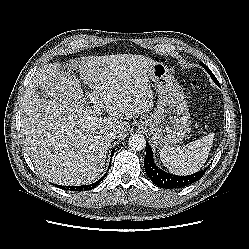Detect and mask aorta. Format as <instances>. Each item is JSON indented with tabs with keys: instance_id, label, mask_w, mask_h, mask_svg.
Instances as JSON below:
<instances>
[{
	"instance_id": "obj_1",
	"label": "aorta",
	"mask_w": 249,
	"mask_h": 249,
	"mask_svg": "<svg viewBox=\"0 0 249 249\" xmlns=\"http://www.w3.org/2000/svg\"><path fill=\"white\" fill-rule=\"evenodd\" d=\"M128 145L134 151H141L146 146V140L141 134H133L129 138Z\"/></svg>"
}]
</instances>
